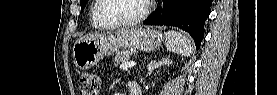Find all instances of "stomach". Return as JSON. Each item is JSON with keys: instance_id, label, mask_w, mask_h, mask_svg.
I'll list each match as a JSON object with an SVG mask.
<instances>
[{"instance_id": "1", "label": "stomach", "mask_w": 277, "mask_h": 95, "mask_svg": "<svg viewBox=\"0 0 277 95\" xmlns=\"http://www.w3.org/2000/svg\"><path fill=\"white\" fill-rule=\"evenodd\" d=\"M164 42L161 31L152 27H134L111 35L76 40L72 49L73 62L81 70L95 66L104 55L122 48L140 49L145 52L159 48Z\"/></svg>"}]
</instances>
